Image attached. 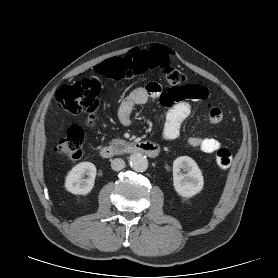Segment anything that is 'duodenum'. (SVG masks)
Instances as JSON below:
<instances>
[{
    "instance_id": "obj_1",
    "label": "duodenum",
    "mask_w": 278,
    "mask_h": 278,
    "mask_svg": "<svg viewBox=\"0 0 278 278\" xmlns=\"http://www.w3.org/2000/svg\"><path fill=\"white\" fill-rule=\"evenodd\" d=\"M99 153L103 158H112L122 154H143L155 158L160 153V147L153 142H135L121 147L103 146Z\"/></svg>"
}]
</instances>
